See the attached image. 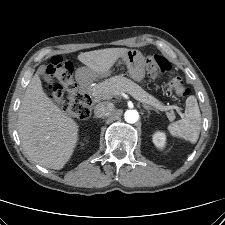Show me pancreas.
<instances>
[{"instance_id": "pancreas-1", "label": "pancreas", "mask_w": 225, "mask_h": 225, "mask_svg": "<svg viewBox=\"0 0 225 225\" xmlns=\"http://www.w3.org/2000/svg\"><path fill=\"white\" fill-rule=\"evenodd\" d=\"M132 92L136 94L141 99L145 100V103L155 106L164 107L166 110L168 107L162 106V104L153 96L149 95L144 91L138 84L134 83L132 80L125 78L121 75L114 76L98 85L92 89V95L95 98H110L112 95H119L121 92ZM167 117L170 121L174 120L175 115L173 113H167Z\"/></svg>"}]
</instances>
